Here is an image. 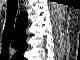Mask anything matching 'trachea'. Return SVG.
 I'll list each match as a JSON object with an SVG mask.
<instances>
[{
	"instance_id": "3493384b",
	"label": "trachea",
	"mask_w": 80,
	"mask_h": 60,
	"mask_svg": "<svg viewBox=\"0 0 80 60\" xmlns=\"http://www.w3.org/2000/svg\"><path fill=\"white\" fill-rule=\"evenodd\" d=\"M18 10V0H7V20L2 34V54L9 55V44Z\"/></svg>"
}]
</instances>
